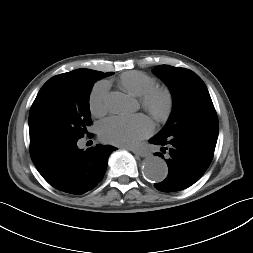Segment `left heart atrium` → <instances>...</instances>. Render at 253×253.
Wrapping results in <instances>:
<instances>
[{"instance_id":"obj_1","label":"left heart atrium","mask_w":253,"mask_h":253,"mask_svg":"<svg viewBox=\"0 0 253 253\" xmlns=\"http://www.w3.org/2000/svg\"><path fill=\"white\" fill-rule=\"evenodd\" d=\"M154 130L153 121L144 114L111 116L99 125L101 138L119 146H134Z\"/></svg>"}]
</instances>
